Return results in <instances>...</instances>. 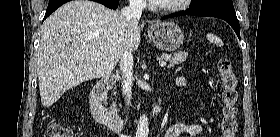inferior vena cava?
Masks as SVG:
<instances>
[{"instance_id":"602c4592","label":"inferior vena cava","mask_w":280,"mask_h":137,"mask_svg":"<svg viewBox=\"0 0 280 137\" xmlns=\"http://www.w3.org/2000/svg\"><path fill=\"white\" fill-rule=\"evenodd\" d=\"M145 7L144 0H130L129 6L124 7L121 10L122 17L126 20L128 28L138 24V19L141 17L142 10ZM120 70L122 74V92L125 96L126 106H131L132 100V70H133V55L130 49L125 44L121 59H120ZM127 121V117L126 120ZM121 137H130L129 135L123 134Z\"/></svg>"}]
</instances>
